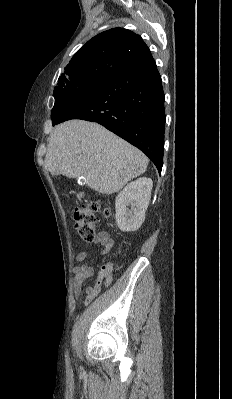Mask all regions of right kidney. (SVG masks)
<instances>
[{
  "instance_id": "right-kidney-1",
  "label": "right kidney",
  "mask_w": 232,
  "mask_h": 399,
  "mask_svg": "<svg viewBox=\"0 0 232 399\" xmlns=\"http://www.w3.org/2000/svg\"><path fill=\"white\" fill-rule=\"evenodd\" d=\"M152 188L151 178H138L135 182L127 184L118 194L115 200V217L121 231H136L142 225ZM127 205H130L131 209H128Z\"/></svg>"
}]
</instances>
